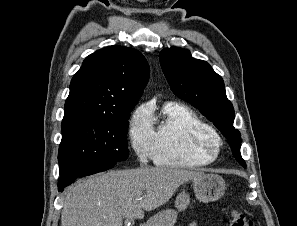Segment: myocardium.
<instances>
[{"mask_svg": "<svg viewBox=\"0 0 297 226\" xmlns=\"http://www.w3.org/2000/svg\"><path fill=\"white\" fill-rule=\"evenodd\" d=\"M220 146V140L217 136H208L200 141L201 149L216 153Z\"/></svg>", "mask_w": 297, "mask_h": 226, "instance_id": "1", "label": "myocardium"}]
</instances>
